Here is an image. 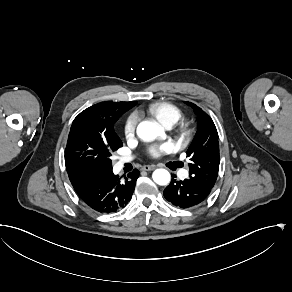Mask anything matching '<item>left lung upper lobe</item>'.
Segmentation results:
<instances>
[{
	"mask_svg": "<svg viewBox=\"0 0 292 292\" xmlns=\"http://www.w3.org/2000/svg\"><path fill=\"white\" fill-rule=\"evenodd\" d=\"M197 115L196 135L187 150L189 163V180L213 188L219 171L218 133L211 117L197 105L186 102Z\"/></svg>",
	"mask_w": 292,
	"mask_h": 292,
	"instance_id": "left-lung-upper-lobe-1",
	"label": "left lung upper lobe"
}]
</instances>
